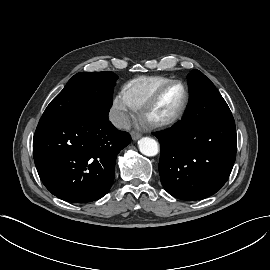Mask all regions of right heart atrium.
I'll return each instance as SVG.
<instances>
[{
	"label": "right heart atrium",
	"mask_w": 270,
	"mask_h": 270,
	"mask_svg": "<svg viewBox=\"0 0 270 270\" xmlns=\"http://www.w3.org/2000/svg\"><path fill=\"white\" fill-rule=\"evenodd\" d=\"M111 120L119 129H126L134 116V108L128 101L124 92L115 95L111 105Z\"/></svg>",
	"instance_id": "obj_1"
}]
</instances>
